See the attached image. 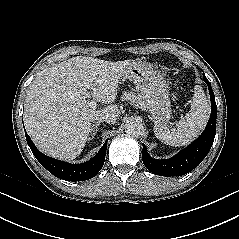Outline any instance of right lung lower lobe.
I'll return each mask as SVG.
<instances>
[{"label":"right lung lower lobe","mask_w":239,"mask_h":239,"mask_svg":"<svg viewBox=\"0 0 239 239\" xmlns=\"http://www.w3.org/2000/svg\"><path fill=\"white\" fill-rule=\"evenodd\" d=\"M27 143L32 150L36 159L54 176L67 181H84L94 177L102 168L106 149L107 140L105 141L98 154L91 160L82 164H70L57 159H53L42 154L33 144L28 134L25 132Z\"/></svg>","instance_id":"1"}]
</instances>
